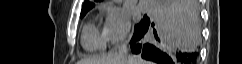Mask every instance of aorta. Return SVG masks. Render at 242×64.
<instances>
[{
	"mask_svg": "<svg viewBox=\"0 0 242 64\" xmlns=\"http://www.w3.org/2000/svg\"><path fill=\"white\" fill-rule=\"evenodd\" d=\"M121 0H114V2L119 3Z\"/></svg>",
	"mask_w": 242,
	"mask_h": 64,
	"instance_id": "762f6f07",
	"label": "aorta"
}]
</instances>
